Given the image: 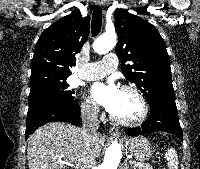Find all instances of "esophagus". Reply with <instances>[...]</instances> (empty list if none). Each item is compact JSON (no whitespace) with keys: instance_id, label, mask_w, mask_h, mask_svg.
Listing matches in <instances>:
<instances>
[{"instance_id":"esophagus-1","label":"esophagus","mask_w":200,"mask_h":169,"mask_svg":"<svg viewBox=\"0 0 200 169\" xmlns=\"http://www.w3.org/2000/svg\"><path fill=\"white\" fill-rule=\"evenodd\" d=\"M99 5H100L102 8H104V2H103V1L99 2ZM109 133H110V135H112V136H119V135H120L119 128L116 127V126L110 127Z\"/></svg>"}]
</instances>
